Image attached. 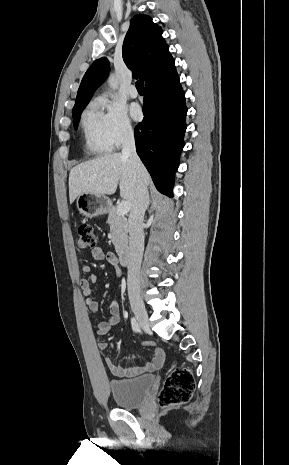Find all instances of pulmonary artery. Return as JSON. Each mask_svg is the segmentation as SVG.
Listing matches in <instances>:
<instances>
[{
  "label": "pulmonary artery",
  "instance_id": "1",
  "mask_svg": "<svg viewBox=\"0 0 289 465\" xmlns=\"http://www.w3.org/2000/svg\"><path fill=\"white\" fill-rule=\"evenodd\" d=\"M129 96L131 98H137L138 97V91L136 89V87L134 85H132L130 88H129Z\"/></svg>",
  "mask_w": 289,
  "mask_h": 465
}]
</instances>
